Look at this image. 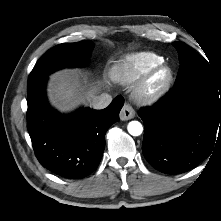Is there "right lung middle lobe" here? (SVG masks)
<instances>
[{"label":"right lung middle lobe","mask_w":221,"mask_h":221,"mask_svg":"<svg viewBox=\"0 0 221 221\" xmlns=\"http://www.w3.org/2000/svg\"><path fill=\"white\" fill-rule=\"evenodd\" d=\"M93 47L94 43L91 41L63 43L53 47L36 63L28 79V88L58 69L85 65Z\"/></svg>","instance_id":"obj_1"}]
</instances>
